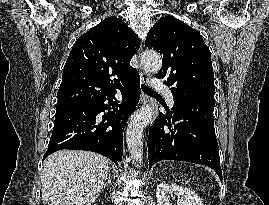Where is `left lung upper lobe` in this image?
Returning a JSON list of instances; mask_svg holds the SVG:
<instances>
[{"label":"left lung upper lobe","instance_id":"5c2ea615","mask_svg":"<svg viewBox=\"0 0 269 205\" xmlns=\"http://www.w3.org/2000/svg\"><path fill=\"white\" fill-rule=\"evenodd\" d=\"M145 46L161 54L162 67L157 78L171 87L173 99L214 101L210 50L196 30L172 16H165L150 29Z\"/></svg>","mask_w":269,"mask_h":205}]
</instances>
